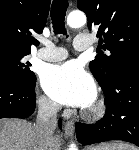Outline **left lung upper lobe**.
Segmentation results:
<instances>
[{"label":"left lung upper lobe","instance_id":"left-lung-upper-lobe-1","mask_svg":"<svg viewBox=\"0 0 139 150\" xmlns=\"http://www.w3.org/2000/svg\"><path fill=\"white\" fill-rule=\"evenodd\" d=\"M88 18V28L97 32L101 49L89 67L103 92L129 61L139 58V0H78Z\"/></svg>","mask_w":139,"mask_h":150}]
</instances>
